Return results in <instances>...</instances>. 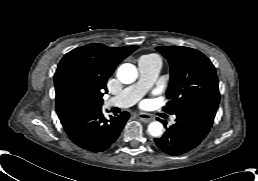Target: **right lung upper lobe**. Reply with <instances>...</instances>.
Returning <instances> with one entry per match:
<instances>
[{"mask_svg":"<svg viewBox=\"0 0 258 181\" xmlns=\"http://www.w3.org/2000/svg\"><path fill=\"white\" fill-rule=\"evenodd\" d=\"M137 48L138 46L114 48L92 43L67 53L54 75L56 103L65 85L73 83L102 104L103 92L107 91V79L116 66Z\"/></svg>","mask_w":258,"mask_h":181,"instance_id":"obj_1","label":"right lung upper lobe"}]
</instances>
